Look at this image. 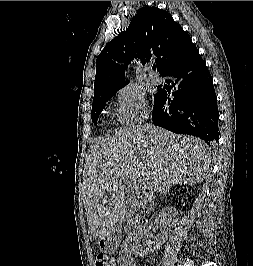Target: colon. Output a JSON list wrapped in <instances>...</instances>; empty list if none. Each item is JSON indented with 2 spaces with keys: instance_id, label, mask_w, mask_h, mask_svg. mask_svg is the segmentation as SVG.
Returning a JSON list of instances; mask_svg holds the SVG:
<instances>
[{
  "instance_id": "1",
  "label": "colon",
  "mask_w": 253,
  "mask_h": 266,
  "mask_svg": "<svg viewBox=\"0 0 253 266\" xmlns=\"http://www.w3.org/2000/svg\"><path fill=\"white\" fill-rule=\"evenodd\" d=\"M95 266H115L114 260L105 255L95 257Z\"/></svg>"
}]
</instances>
